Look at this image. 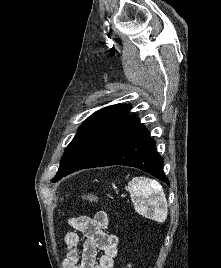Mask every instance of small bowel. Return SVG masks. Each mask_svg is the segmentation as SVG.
<instances>
[{
  "mask_svg": "<svg viewBox=\"0 0 221 268\" xmlns=\"http://www.w3.org/2000/svg\"><path fill=\"white\" fill-rule=\"evenodd\" d=\"M69 224L73 231L65 236L66 258L63 267L113 268L118 239L108 231V215L99 211L93 217L76 216L70 219ZM79 233L85 238L83 243Z\"/></svg>",
  "mask_w": 221,
  "mask_h": 268,
  "instance_id": "obj_1",
  "label": "small bowel"
}]
</instances>
